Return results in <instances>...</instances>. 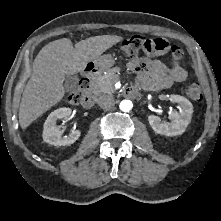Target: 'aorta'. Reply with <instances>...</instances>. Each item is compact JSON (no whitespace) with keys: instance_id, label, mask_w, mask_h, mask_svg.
<instances>
[{"instance_id":"aorta-1","label":"aorta","mask_w":221,"mask_h":221,"mask_svg":"<svg viewBox=\"0 0 221 221\" xmlns=\"http://www.w3.org/2000/svg\"><path fill=\"white\" fill-rule=\"evenodd\" d=\"M119 107H120V110H121V111H123V112H129V111L132 109V107H133V103H132V101H130V100H122V101L120 102Z\"/></svg>"}]
</instances>
